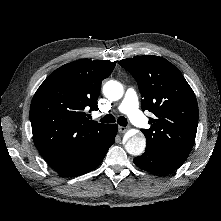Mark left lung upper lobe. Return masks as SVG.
Instances as JSON below:
<instances>
[{
  "label": "left lung upper lobe",
  "instance_id": "left-lung-upper-lobe-1",
  "mask_svg": "<svg viewBox=\"0 0 221 221\" xmlns=\"http://www.w3.org/2000/svg\"><path fill=\"white\" fill-rule=\"evenodd\" d=\"M119 64L137 81L142 110L155 115L146 137V149L187 158L194 145L198 126L196 96L181 72L166 59L143 55Z\"/></svg>",
  "mask_w": 221,
  "mask_h": 221
}]
</instances>
